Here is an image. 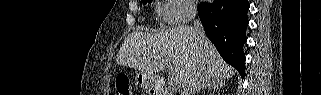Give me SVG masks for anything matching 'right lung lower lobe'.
Segmentation results:
<instances>
[{
  "label": "right lung lower lobe",
  "instance_id": "right-lung-lower-lobe-1",
  "mask_svg": "<svg viewBox=\"0 0 321 95\" xmlns=\"http://www.w3.org/2000/svg\"><path fill=\"white\" fill-rule=\"evenodd\" d=\"M248 9L247 0H214L213 3L201 2L198 7L207 37L242 78L245 74L243 45L246 42Z\"/></svg>",
  "mask_w": 321,
  "mask_h": 95
}]
</instances>
